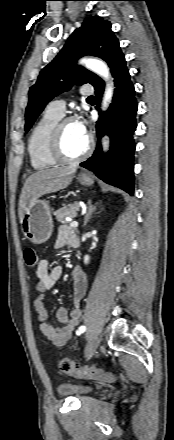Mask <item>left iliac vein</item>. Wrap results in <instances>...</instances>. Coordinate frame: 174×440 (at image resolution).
Here are the masks:
<instances>
[{
  "mask_svg": "<svg viewBox=\"0 0 174 440\" xmlns=\"http://www.w3.org/2000/svg\"><path fill=\"white\" fill-rule=\"evenodd\" d=\"M99 344H100V341H99L98 338L90 341L87 344L86 349H85V355H86L87 358L90 357L96 351V349L98 348Z\"/></svg>",
  "mask_w": 174,
  "mask_h": 440,
  "instance_id": "left-iliac-vein-1",
  "label": "left iliac vein"
}]
</instances>
